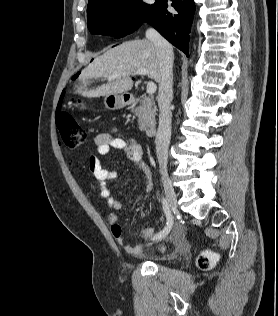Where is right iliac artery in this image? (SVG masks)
Here are the masks:
<instances>
[{
  "label": "right iliac artery",
  "instance_id": "1",
  "mask_svg": "<svg viewBox=\"0 0 278 316\" xmlns=\"http://www.w3.org/2000/svg\"><path fill=\"white\" fill-rule=\"evenodd\" d=\"M162 206H163V210H164V213L166 215V218H167V224L162 231H160L157 235H155L153 237V240H157V239L159 240V239H162L163 237H165L170 232L172 225H173V219L171 216V212H170L168 203H167L165 198L162 199Z\"/></svg>",
  "mask_w": 278,
  "mask_h": 316
}]
</instances>
